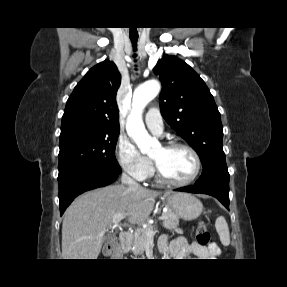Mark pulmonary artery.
<instances>
[{"mask_svg":"<svg viewBox=\"0 0 287 287\" xmlns=\"http://www.w3.org/2000/svg\"><path fill=\"white\" fill-rule=\"evenodd\" d=\"M145 123L147 127L156 134L163 131V121L157 108H151L145 115Z\"/></svg>","mask_w":287,"mask_h":287,"instance_id":"e3ab8cb5","label":"pulmonary artery"}]
</instances>
